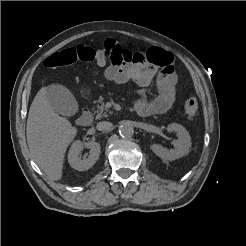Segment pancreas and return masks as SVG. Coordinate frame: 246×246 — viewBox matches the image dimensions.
<instances>
[{"label": "pancreas", "instance_id": "cf45deb5", "mask_svg": "<svg viewBox=\"0 0 246 246\" xmlns=\"http://www.w3.org/2000/svg\"><path fill=\"white\" fill-rule=\"evenodd\" d=\"M98 102L100 103V105L97 106V111H95L97 113L96 119H101L103 117H107L108 114H111V111L106 108L102 98L99 99Z\"/></svg>", "mask_w": 246, "mask_h": 246}]
</instances>
